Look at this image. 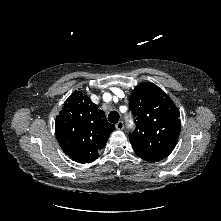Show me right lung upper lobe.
I'll return each mask as SVG.
<instances>
[{"label": "right lung upper lobe", "instance_id": "1", "mask_svg": "<svg viewBox=\"0 0 221 221\" xmlns=\"http://www.w3.org/2000/svg\"><path fill=\"white\" fill-rule=\"evenodd\" d=\"M115 126L105 113L82 93L74 91L56 117L55 132L60 147L74 161L91 163L98 157Z\"/></svg>", "mask_w": 221, "mask_h": 221}]
</instances>
